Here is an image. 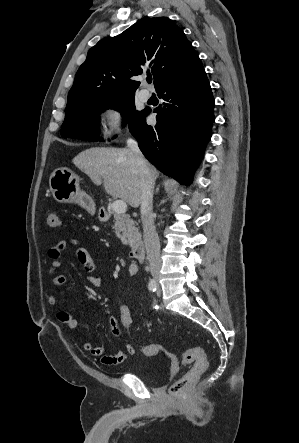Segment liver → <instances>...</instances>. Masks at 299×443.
I'll use <instances>...</instances> for the list:
<instances>
[{
  "label": "liver",
  "mask_w": 299,
  "mask_h": 443,
  "mask_svg": "<svg viewBox=\"0 0 299 443\" xmlns=\"http://www.w3.org/2000/svg\"><path fill=\"white\" fill-rule=\"evenodd\" d=\"M74 165L93 181H103L104 189L113 198H120L132 207L140 205V177L134 154L129 149L93 147L80 152ZM155 180L159 172L147 162Z\"/></svg>",
  "instance_id": "liver-1"
}]
</instances>
